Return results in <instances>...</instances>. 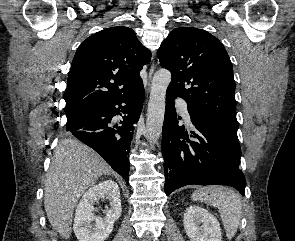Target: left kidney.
Returning a JSON list of instances; mask_svg holds the SVG:
<instances>
[{
	"label": "left kidney",
	"instance_id": "obj_1",
	"mask_svg": "<svg viewBox=\"0 0 295 241\" xmlns=\"http://www.w3.org/2000/svg\"><path fill=\"white\" fill-rule=\"evenodd\" d=\"M183 224L190 241H222L217 218L200 206L192 205L186 209Z\"/></svg>",
	"mask_w": 295,
	"mask_h": 241
}]
</instances>
